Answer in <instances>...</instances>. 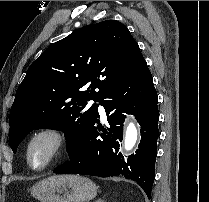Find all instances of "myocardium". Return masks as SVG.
<instances>
[{"label": "myocardium", "mask_w": 209, "mask_h": 202, "mask_svg": "<svg viewBox=\"0 0 209 202\" xmlns=\"http://www.w3.org/2000/svg\"><path fill=\"white\" fill-rule=\"evenodd\" d=\"M40 139L49 141V151L46 160L40 164H34L32 160L31 150L35 142ZM26 160L28 165L37 171L44 170L64 155L67 149V139L63 131L53 125H45L35 129L26 141Z\"/></svg>", "instance_id": "f54148a6"}]
</instances>
